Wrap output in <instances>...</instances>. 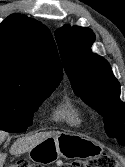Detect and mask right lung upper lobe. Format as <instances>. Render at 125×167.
<instances>
[{"label": "right lung upper lobe", "instance_id": "obj_1", "mask_svg": "<svg viewBox=\"0 0 125 167\" xmlns=\"http://www.w3.org/2000/svg\"><path fill=\"white\" fill-rule=\"evenodd\" d=\"M63 70L50 30L12 14L0 24V91L32 94L57 87Z\"/></svg>", "mask_w": 125, "mask_h": 167}]
</instances>
